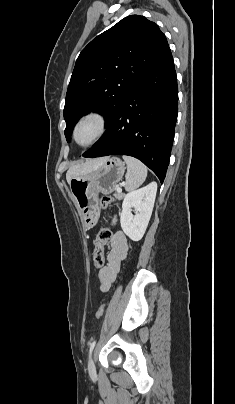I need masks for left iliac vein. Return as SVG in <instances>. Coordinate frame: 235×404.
Wrapping results in <instances>:
<instances>
[{"mask_svg":"<svg viewBox=\"0 0 235 404\" xmlns=\"http://www.w3.org/2000/svg\"><path fill=\"white\" fill-rule=\"evenodd\" d=\"M88 370L90 373H94L95 372V365H94V361L92 358H90L89 362H88Z\"/></svg>","mask_w":235,"mask_h":404,"instance_id":"1","label":"left iliac vein"}]
</instances>
